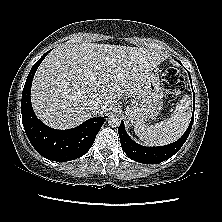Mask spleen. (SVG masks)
<instances>
[{
	"mask_svg": "<svg viewBox=\"0 0 222 222\" xmlns=\"http://www.w3.org/2000/svg\"><path fill=\"white\" fill-rule=\"evenodd\" d=\"M192 114L191 99L183 96L170 118L150 126H135V134L149 146H163L179 139L187 129Z\"/></svg>",
	"mask_w": 222,
	"mask_h": 222,
	"instance_id": "3e777b00",
	"label": "spleen"
}]
</instances>
